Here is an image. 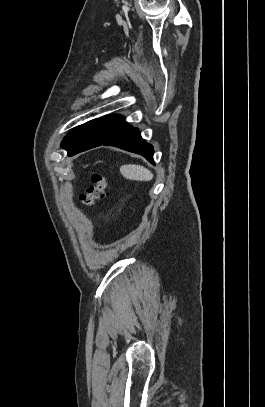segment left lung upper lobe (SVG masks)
<instances>
[{"mask_svg": "<svg viewBox=\"0 0 265 407\" xmlns=\"http://www.w3.org/2000/svg\"><path fill=\"white\" fill-rule=\"evenodd\" d=\"M130 126L120 115L94 119L72 129L62 141L61 146L69 151L87 148L106 142Z\"/></svg>", "mask_w": 265, "mask_h": 407, "instance_id": "left-lung-upper-lobe-1", "label": "left lung upper lobe"}]
</instances>
